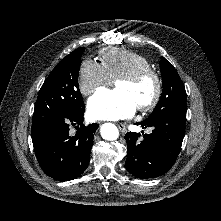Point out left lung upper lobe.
Wrapping results in <instances>:
<instances>
[{
  "mask_svg": "<svg viewBox=\"0 0 221 221\" xmlns=\"http://www.w3.org/2000/svg\"><path fill=\"white\" fill-rule=\"evenodd\" d=\"M163 90L161 98L146 120H153L174 111H186V92L177 70L162 57L160 61Z\"/></svg>",
  "mask_w": 221,
  "mask_h": 221,
  "instance_id": "obj_1",
  "label": "left lung upper lobe"
}]
</instances>
